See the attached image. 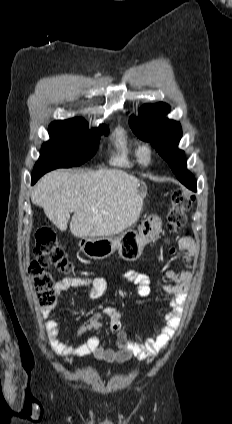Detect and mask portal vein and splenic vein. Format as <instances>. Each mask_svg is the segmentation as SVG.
<instances>
[{
	"instance_id": "portal-vein-and-splenic-vein-1",
	"label": "portal vein and splenic vein",
	"mask_w": 232,
	"mask_h": 424,
	"mask_svg": "<svg viewBox=\"0 0 232 424\" xmlns=\"http://www.w3.org/2000/svg\"><path fill=\"white\" fill-rule=\"evenodd\" d=\"M93 212H97L98 210L96 208L91 209Z\"/></svg>"
}]
</instances>
